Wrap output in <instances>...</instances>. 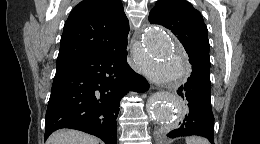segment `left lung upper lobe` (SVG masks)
<instances>
[{"label":"left lung upper lobe","instance_id":"1","mask_svg":"<svg viewBox=\"0 0 260 144\" xmlns=\"http://www.w3.org/2000/svg\"><path fill=\"white\" fill-rule=\"evenodd\" d=\"M149 21L162 25L179 39L189 59L210 64L208 30L203 17L184 0H158L150 11Z\"/></svg>","mask_w":260,"mask_h":144}]
</instances>
